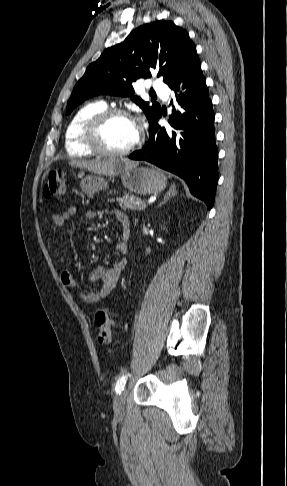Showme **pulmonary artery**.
<instances>
[{"label":"pulmonary artery","mask_w":287,"mask_h":486,"mask_svg":"<svg viewBox=\"0 0 287 486\" xmlns=\"http://www.w3.org/2000/svg\"><path fill=\"white\" fill-rule=\"evenodd\" d=\"M151 86L152 88L160 93V94H163V95H167L168 94V87L167 85L162 82L161 80L157 79V80H154L152 83H151Z\"/></svg>","instance_id":"obj_1"}]
</instances>
